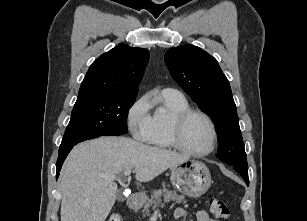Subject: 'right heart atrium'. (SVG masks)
<instances>
[{"mask_svg":"<svg viewBox=\"0 0 307 221\" xmlns=\"http://www.w3.org/2000/svg\"><path fill=\"white\" fill-rule=\"evenodd\" d=\"M127 124L132 136L146 142L149 134V102L145 96L136 99L127 112Z\"/></svg>","mask_w":307,"mask_h":221,"instance_id":"1","label":"right heart atrium"}]
</instances>
